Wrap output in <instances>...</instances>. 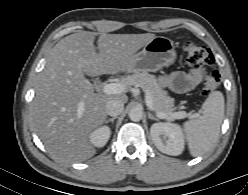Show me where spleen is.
Returning a JSON list of instances; mask_svg holds the SVG:
<instances>
[{
    "label": "spleen",
    "instance_id": "obj_1",
    "mask_svg": "<svg viewBox=\"0 0 248 195\" xmlns=\"http://www.w3.org/2000/svg\"><path fill=\"white\" fill-rule=\"evenodd\" d=\"M203 115L184 123V132L192 156L208 152L218 139L224 118V96L220 91L212 92L202 104Z\"/></svg>",
    "mask_w": 248,
    "mask_h": 195
}]
</instances>
